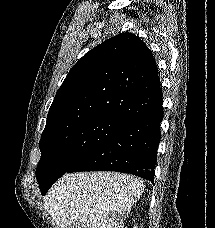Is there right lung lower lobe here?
I'll list each match as a JSON object with an SVG mask.
<instances>
[{"instance_id":"right-lung-lower-lobe-1","label":"right lung lower lobe","mask_w":215,"mask_h":228,"mask_svg":"<svg viewBox=\"0 0 215 228\" xmlns=\"http://www.w3.org/2000/svg\"><path fill=\"white\" fill-rule=\"evenodd\" d=\"M163 113L161 103L127 120L66 173L117 171L130 173L153 183Z\"/></svg>"}]
</instances>
